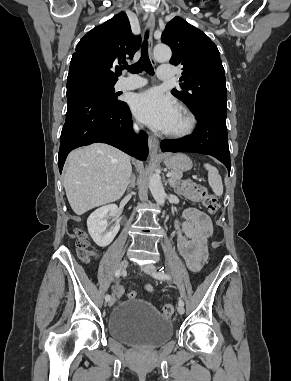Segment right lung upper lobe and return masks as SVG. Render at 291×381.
Masks as SVG:
<instances>
[{"mask_svg": "<svg viewBox=\"0 0 291 381\" xmlns=\"http://www.w3.org/2000/svg\"><path fill=\"white\" fill-rule=\"evenodd\" d=\"M141 43L134 36L125 12L89 31L77 44L70 62L68 79L87 78L102 83H116L118 64L132 59Z\"/></svg>", "mask_w": 291, "mask_h": 381, "instance_id": "1", "label": "right lung upper lobe"}]
</instances>
